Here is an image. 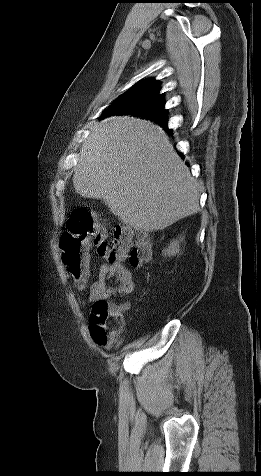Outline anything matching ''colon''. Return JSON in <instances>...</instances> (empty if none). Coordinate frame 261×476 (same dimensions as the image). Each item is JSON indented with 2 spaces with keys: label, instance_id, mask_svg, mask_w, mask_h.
I'll return each mask as SVG.
<instances>
[{
  "label": "colon",
  "instance_id": "5ec220e1",
  "mask_svg": "<svg viewBox=\"0 0 261 476\" xmlns=\"http://www.w3.org/2000/svg\"><path fill=\"white\" fill-rule=\"evenodd\" d=\"M110 232L98 220L95 213L86 208H76L66 223V231L61 237L60 247L64 264L70 278L77 284L85 283L89 273L90 246L97 248L99 256L111 262L127 259L133 267L143 265L151 256V243L147 235L136 233L129 226H117ZM123 310L107 301L92 305L90 316V334L96 344L104 348L113 347L121 333ZM111 320L119 325L110 329Z\"/></svg>",
  "mask_w": 261,
  "mask_h": 476
}]
</instances>
